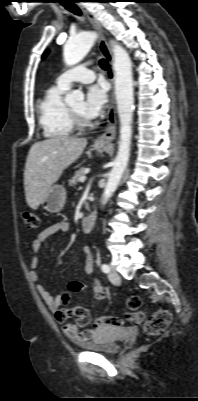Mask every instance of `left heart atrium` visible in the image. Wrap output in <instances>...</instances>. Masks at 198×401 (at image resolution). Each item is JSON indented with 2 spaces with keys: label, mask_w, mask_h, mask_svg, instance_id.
Masks as SVG:
<instances>
[{
  "label": "left heart atrium",
  "mask_w": 198,
  "mask_h": 401,
  "mask_svg": "<svg viewBox=\"0 0 198 401\" xmlns=\"http://www.w3.org/2000/svg\"><path fill=\"white\" fill-rule=\"evenodd\" d=\"M107 102V90L103 83H96L87 88L83 112L88 119L98 117Z\"/></svg>",
  "instance_id": "39dd6f15"
}]
</instances>
